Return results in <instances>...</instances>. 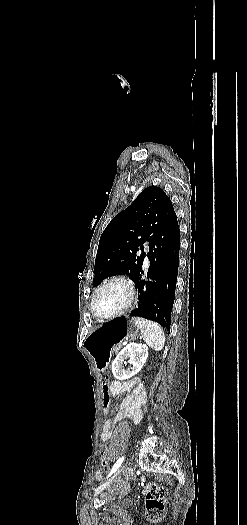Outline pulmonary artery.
Instances as JSON below:
<instances>
[{
	"label": "pulmonary artery",
	"instance_id": "pulmonary-artery-1",
	"mask_svg": "<svg viewBox=\"0 0 247 525\" xmlns=\"http://www.w3.org/2000/svg\"><path fill=\"white\" fill-rule=\"evenodd\" d=\"M144 249H143V254H142V257H143V260H142V263L145 267H149L152 265L153 263V260L151 257H149V254H148V241L147 240H144Z\"/></svg>",
	"mask_w": 247,
	"mask_h": 525
}]
</instances>
